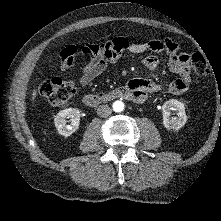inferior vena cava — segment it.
Segmentation results:
<instances>
[{
	"label": "inferior vena cava",
	"instance_id": "obj_1",
	"mask_svg": "<svg viewBox=\"0 0 221 221\" xmlns=\"http://www.w3.org/2000/svg\"><path fill=\"white\" fill-rule=\"evenodd\" d=\"M111 113H112V110L108 105H100L97 108V114H98V116H100L102 118L108 117Z\"/></svg>",
	"mask_w": 221,
	"mask_h": 221
}]
</instances>
